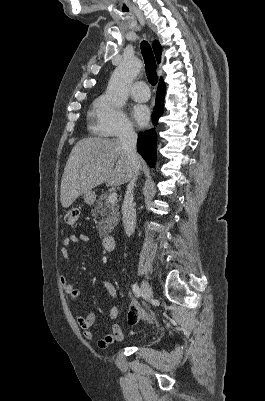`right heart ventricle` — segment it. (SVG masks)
Returning <instances> with one entry per match:
<instances>
[{"label": "right heart ventricle", "mask_w": 265, "mask_h": 401, "mask_svg": "<svg viewBox=\"0 0 265 401\" xmlns=\"http://www.w3.org/2000/svg\"><path fill=\"white\" fill-rule=\"evenodd\" d=\"M98 102H99V100H95V101L93 102L92 107H91V111H90V114H91V115H94V114H95L96 108H97V105H98ZM106 143H110V142H106Z\"/></svg>", "instance_id": "obj_1"}]
</instances>
